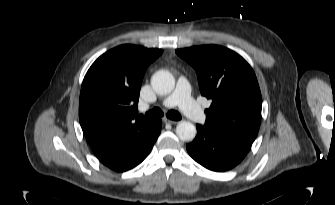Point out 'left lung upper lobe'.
I'll list each match as a JSON object with an SVG mask.
<instances>
[{
	"instance_id": "obj_1",
	"label": "left lung upper lobe",
	"mask_w": 335,
	"mask_h": 205,
	"mask_svg": "<svg viewBox=\"0 0 335 205\" xmlns=\"http://www.w3.org/2000/svg\"><path fill=\"white\" fill-rule=\"evenodd\" d=\"M197 72L201 94L212 101L205 126L253 142L261 121L262 97L251 66L218 45L176 50Z\"/></svg>"
}]
</instances>
